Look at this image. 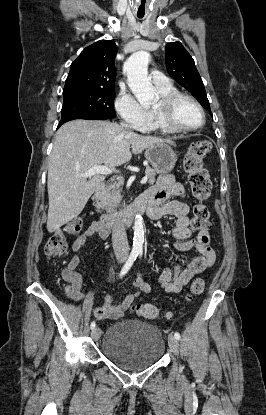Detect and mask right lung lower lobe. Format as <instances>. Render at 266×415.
I'll use <instances>...</instances> for the list:
<instances>
[{
	"label": "right lung lower lobe",
	"mask_w": 266,
	"mask_h": 415,
	"mask_svg": "<svg viewBox=\"0 0 266 415\" xmlns=\"http://www.w3.org/2000/svg\"><path fill=\"white\" fill-rule=\"evenodd\" d=\"M74 119L103 120V119H108V118H105V117H82V116H74V115H71V116H63L61 118V121L58 124V128L62 124H64L65 122H68V121H71V120H74Z\"/></svg>",
	"instance_id": "1"
}]
</instances>
